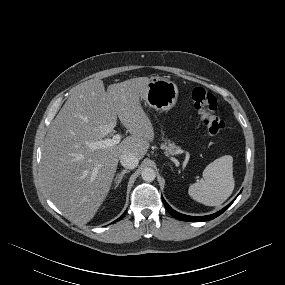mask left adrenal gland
<instances>
[{
  "mask_svg": "<svg viewBox=\"0 0 285 285\" xmlns=\"http://www.w3.org/2000/svg\"><path fill=\"white\" fill-rule=\"evenodd\" d=\"M170 167H171V170H173V167L170 165Z\"/></svg>",
  "mask_w": 285,
  "mask_h": 285,
  "instance_id": "1",
  "label": "left adrenal gland"
}]
</instances>
